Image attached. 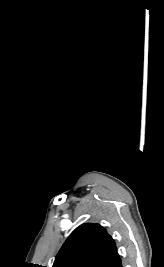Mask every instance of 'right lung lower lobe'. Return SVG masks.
<instances>
[{
	"label": "right lung lower lobe",
	"mask_w": 164,
	"mask_h": 267,
	"mask_svg": "<svg viewBox=\"0 0 164 267\" xmlns=\"http://www.w3.org/2000/svg\"><path fill=\"white\" fill-rule=\"evenodd\" d=\"M100 267H122L118 253L114 254L110 259L100 265Z\"/></svg>",
	"instance_id": "obj_1"
}]
</instances>
